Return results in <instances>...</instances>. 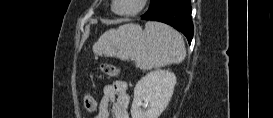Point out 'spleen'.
Instances as JSON below:
<instances>
[{
  "instance_id": "spleen-1",
  "label": "spleen",
  "mask_w": 273,
  "mask_h": 118,
  "mask_svg": "<svg viewBox=\"0 0 273 118\" xmlns=\"http://www.w3.org/2000/svg\"><path fill=\"white\" fill-rule=\"evenodd\" d=\"M99 56L134 61L142 70L179 64L185 58L184 42L173 28L158 22L124 24L100 36L93 46Z\"/></svg>"
}]
</instances>
